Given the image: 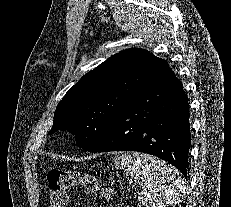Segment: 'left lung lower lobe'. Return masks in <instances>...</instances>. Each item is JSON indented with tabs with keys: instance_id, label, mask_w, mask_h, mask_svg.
<instances>
[{
	"instance_id": "left-lung-lower-lobe-1",
	"label": "left lung lower lobe",
	"mask_w": 231,
	"mask_h": 207,
	"mask_svg": "<svg viewBox=\"0 0 231 207\" xmlns=\"http://www.w3.org/2000/svg\"><path fill=\"white\" fill-rule=\"evenodd\" d=\"M188 98L160 59L149 81L110 121L89 152L139 151L174 165L187 178L190 147Z\"/></svg>"
}]
</instances>
